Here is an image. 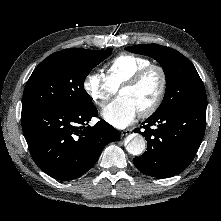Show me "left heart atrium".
Here are the masks:
<instances>
[{"label": "left heart atrium", "mask_w": 221, "mask_h": 221, "mask_svg": "<svg viewBox=\"0 0 221 221\" xmlns=\"http://www.w3.org/2000/svg\"><path fill=\"white\" fill-rule=\"evenodd\" d=\"M138 110L130 99L119 96L102 111L103 118L111 125L117 128H125L131 124Z\"/></svg>", "instance_id": "1"}]
</instances>
